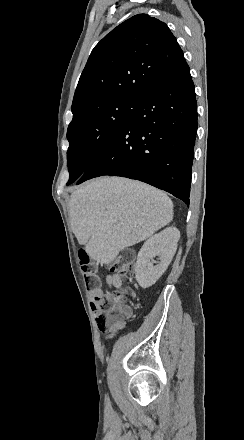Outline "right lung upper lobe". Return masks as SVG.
Returning a JSON list of instances; mask_svg holds the SVG:
<instances>
[{
  "label": "right lung upper lobe",
  "instance_id": "cb5924a9",
  "mask_svg": "<svg viewBox=\"0 0 244 440\" xmlns=\"http://www.w3.org/2000/svg\"><path fill=\"white\" fill-rule=\"evenodd\" d=\"M185 62L168 26L147 14L124 21L92 50L72 109L112 97H142L163 75Z\"/></svg>",
  "mask_w": 244,
  "mask_h": 440
}]
</instances>
